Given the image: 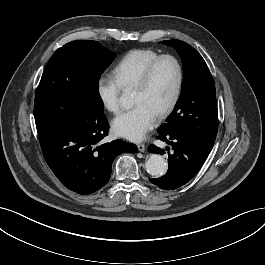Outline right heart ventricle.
Returning <instances> with one entry per match:
<instances>
[{
  "instance_id": "e07e8e85",
  "label": "right heart ventricle",
  "mask_w": 265,
  "mask_h": 265,
  "mask_svg": "<svg viewBox=\"0 0 265 265\" xmlns=\"http://www.w3.org/2000/svg\"><path fill=\"white\" fill-rule=\"evenodd\" d=\"M159 54L150 49H134L127 52L115 65L113 76L121 89L134 87L146 66Z\"/></svg>"
}]
</instances>
